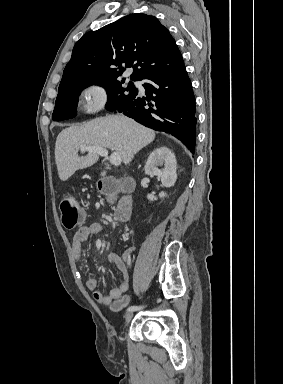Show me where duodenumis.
<instances>
[{
    "mask_svg": "<svg viewBox=\"0 0 283 384\" xmlns=\"http://www.w3.org/2000/svg\"><path fill=\"white\" fill-rule=\"evenodd\" d=\"M105 176H107V174H105ZM106 186L108 188L110 185L107 184ZM131 211H132V199L130 194H126L121 198L119 204L116 206L114 210V215L119 221L125 222L130 218Z\"/></svg>",
    "mask_w": 283,
    "mask_h": 384,
    "instance_id": "1",
    "label": "duodenum"
}]
</instances>
